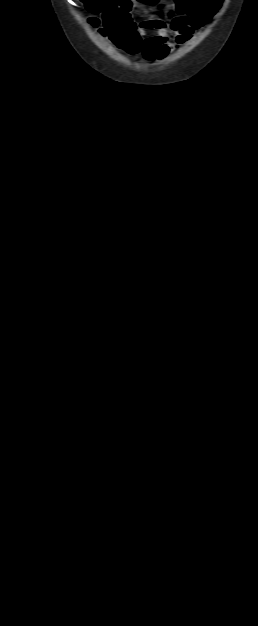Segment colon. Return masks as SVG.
<instances>
[{
  "instance_id": "colon-1",
  "label": "colon",
  "mask_w": 258,
  "mask_h": 626,
  "mask_svg": "<svg viewBox=\"0 0 258 626\" xmlns=\"http://www.w3.org/2000/svg\"><path fill=\"white\" fill-rule=\"evenodd\" d=\"M82 2L90 9L95 11H101L104 7L105 0H82ZM146 3H153L154 0H145ZM130 30L134 29V25L129 26Z\"/></svg>"
}]
</instances>
